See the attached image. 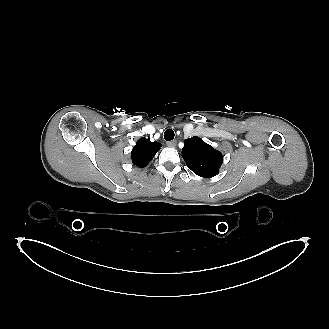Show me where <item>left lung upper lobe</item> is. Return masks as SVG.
<instances>
[{"mask_svg":"<svg viewBox=\"0 0 329 329\" xmlns=\"http://www.w3.org/2000/svg\"><path fill=\"white\" fill-rule=\"evenodd\" d=\"M182 157L189 169L205 178H211L218 174L223 162L221 152L197 136L184 141Z\"/></svg>","mask_w":329,"mask_h":329,"instance_id":"left-lung-upper-lobe-1","label":"left lung upper lobe"}]
</instances>
